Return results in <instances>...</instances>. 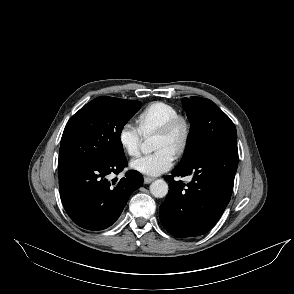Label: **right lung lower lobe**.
<instances>
[{"label":"right lung lower lobe","instance_id":"98d812e1","mask_svg":"<svg viewBox=\"0 0 294 294\" xmlns=\"http://www.w3.org/2000/svg\"><path fill=\"white\" fill-rule=\"evenodd\" d=\"M127 166L125 156L99 162H79L58 168L59 189L63 206L70 218L88 230H102L120 216L129 196L143 184L138 171L109 182Z\"/></svg>","mask_w":294,"mask_h":294}]
</instances>
